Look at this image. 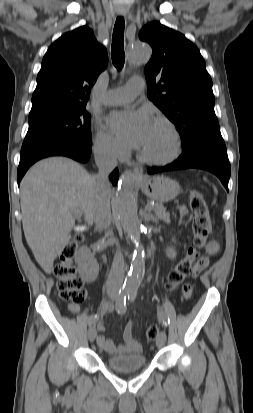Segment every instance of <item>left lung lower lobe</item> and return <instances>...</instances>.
I'll list each match as a JSON object with an SVG mask.
<instances>
[{
  "mask_svg": "<svg viewBox=\"0 0 253 413\" xmlns=\"http://www.w3.org/2000/svg\"><path fill=\"white\" fill-rule=\"evenodd\" d=\"M198 168L207 170L215 174L228 191L230 178V163L227 156L225 144H212L202 148L200 153L193 155L182 154L173 163L164 167L148 168V174H155L163 171Z\"/></svg>",
  "mask_w": 253,
  "mask_h": 413,
  "instance_id": "left-lung-lower-lobe-1",
  "label": "left lung lower lobe"
}]
</instances>
